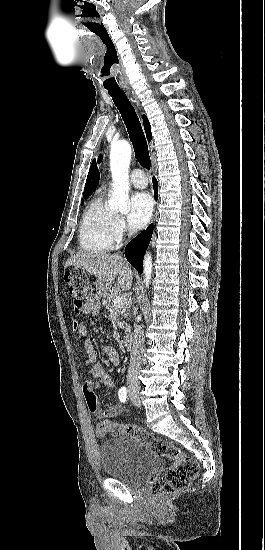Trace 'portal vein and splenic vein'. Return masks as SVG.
<instances>
[{"mask_svg": "<svg viewBox=\"0 0 265 550\" xmlns=\"http://www.w3.org/2000/svg\"><path fill=\"white\" fill-rule=\"evenodd\" d=\"M126 303H127V299L125 297H120L119 296L114 300V306L115 307L124 306Z\"/></svg>", "mask_w": 265, "mask_h": 550, "instance_id": "obj_1", "label": "portal vein and splenic vein"}]
</instances>
